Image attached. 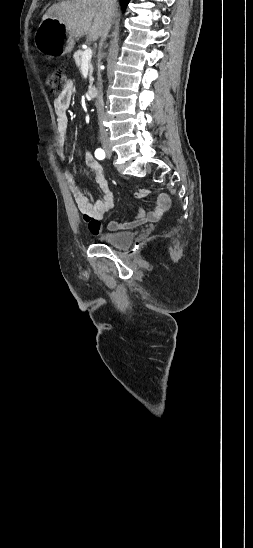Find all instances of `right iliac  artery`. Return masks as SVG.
Instances as JSON below:
<instances>
[{"label": "right iliac artery", "instance_id": "1", "mask_svg": "<svg viewBox=\"0 0 253 548\" xmlns=\"http://www.w3.org/2000/svg\"><path fill=\"white\" fill-rule=\"evenodd\" d=\"M95 157H96L97 159H99V160L104 159V158H105V152H104V150L101 149V148L96 149V151H95Z\"/></svg>", "mask_w": 253, "mask_h": 548}]
</instances>
